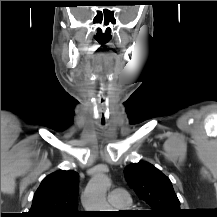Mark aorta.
Wrapping results in <instances>:
<instances>
[{
  "label": "aorta",
  "instance_id": "1",
  "mask_svg": "<svg viewBox=\"0 0 217 217\" xmlns=\"http://www.w3.org/2000/svg\"><path fill=\"white\" fill-rule=\"evenodd\" d=\"M111 182L104 173H96L87 184L83 195L82 204L86 211H110L106 201V192Z\"/></svg>",
  "mask_w": 217,
  "mask_h": 217
}]
</instances>
